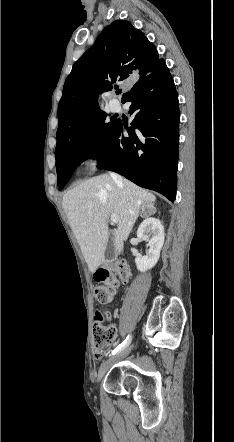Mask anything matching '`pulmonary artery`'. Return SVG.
Returning <instances> with one entry per match:
<instances>
[{
	"instance_id": "obj_1",
	"label": "pulmonary artery",
	"mask_w": 234,
	"mask_h": 442,
	"mask_svg": "<svg viewBox=\"0 0 234 442\" xmlns=\"http://www.w3.org/2000/svg\"><path fill=\"white\" fill-rule=\"evenodd\" d=\"M109 108L112 112H118L120 110V104L117 100L111 99L109 101Z\"/></svg>"
}]
</instances>
